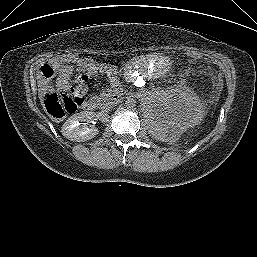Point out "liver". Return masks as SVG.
I'll return each instance as SVG.
<instances>
[{
    "label": "liver",
    "mask_w": 257,
    "mask_h": 257,
    "mask_svg": "<svg viewBox=\"0 0 257 257\" xmlns=\"http://www.w3.org/2000/svg\"><path fill=\"white\" fill-rule=\"evenodd\" d=\"M38 84H39V86L41 87V90H44V87H45V85H46V82H45L44 80L40 79V80L38 81Z\"/></svg>",
    "instance_id": "obj_1"
}]
</instances>
